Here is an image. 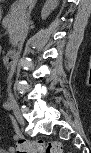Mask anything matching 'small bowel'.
<instances>
[{
  "mask_svg": "<svg viewBox=\"0 0 91 153\" xmlns=\"http://www.w3.org/2000/svg\"><path fill=\"white\" fill-rule=\"evenodd\" d=\"M3 152L13 153L14 148L10 147L8 150H3Z\"/></svg>",
  "mask_w": 91,
  "mask_h": 153,
  "instance_id": "small-bowel-1",
  "label": "small bowel"
}]
</instances>
